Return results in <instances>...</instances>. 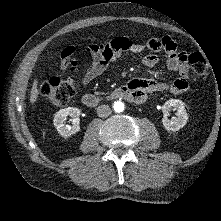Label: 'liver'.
I'll return each instance as SVG.
<instances>
[{
	"instance_id": "1",
	"label": "liver",
	"mask_w": 221,
	"mask_h": 221,
	"mask_svg": "<svg viewBox=\"0 0 221 221\" xmlns=\"http://www.w3.org/2000/svg\"><path fill=\"white\" fill-rule=\"evenodd\" d=\"M37 85H38L37 80H34L32 89L30 91V102H31V104H34V102L37 100L38 95H39V90L37 89Z\"/></svg>"
}]
</instances>
